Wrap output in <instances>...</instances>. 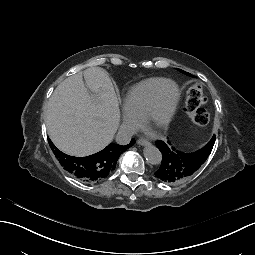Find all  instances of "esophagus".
<instances>
[{"instance_id": "obj_1", "label": "esophagus", "mask_w": 255, "mask_h": 255, "mask_svg": "<svg viewBox=\"0 0 255 255\" xmlns=\"http://www.w3.org/2000/svg\"><path fill=\"white\" fill-rule=\"evenodd\" d=\"M137 143L141 146H147V145H150V142L145 140V139H138L137 140Z\"/></svg>"}]
</instances>
